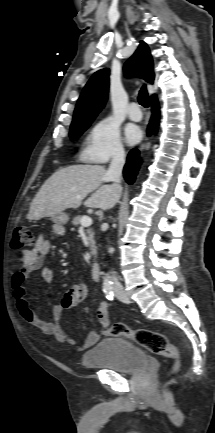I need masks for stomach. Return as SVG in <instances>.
I'll use <instances>...</instances> for the list:
<instances>
[{
  "mask_svg": "<svg viewBox=\"0 0 215 433\" xmlns=\"http://www.w3.org/2000/svg\"><path fill=\"white\" fill-rule=\"evenodd\" d=\"M52 219L54 222L61 224V225H64L68 222V215L66 213L61 212V213L53 216Z\"/></svg>",
  "mask_w": 215,
  "mask_h": 433,
  "instance_id": "stomach-1",
  "label": "stomach"
}]
</instances>
